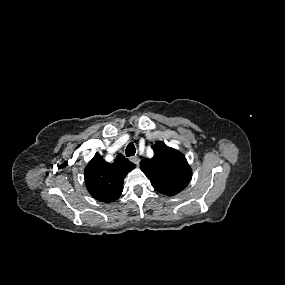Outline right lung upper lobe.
<instances>
[{
    "label": "right lung upper lobe",
    "mask_w": 285,
    "mask_h": 285,
    "mask_svg": "<svg viewBox=\"0 0 285 285\" xmlns=\"http://www.w3.org/2000/svg\"><path fill=\"white\" fill-rule=\"evenodd\" d=\"M135 167L122 155H117L113 163H107L96 153L84 171L88 192L105 203L116 201L122 194L124 178Z\"/></svg>",
    "instance_id": "obj_1"
}]
</instances>
